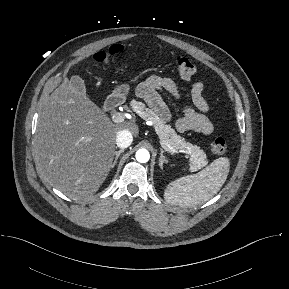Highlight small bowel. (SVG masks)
<instances>
[{"mask_svg": "<svg viewBox=\"0 0 289 289\" xmlns=\"http://www.w3.org/2000/svg\"><path fill=\"white\" fill-rule=\"evenodd\" d=\"M205 85L196 82L191 88V100L194 107L185 104L182 115L175 120L178 132L185 133L193 131L203 135H210L213 124L206 116L209 112V104L203 96ZM161 92H167L176 99L181 98L180 90L175 81L169 77L152 75L142 82L138 89V96L144 99L164 120L171 119L170 111L161 97Z\"/></svg>", "mask_w": 289, "mask_h": 289, "instance_id": "c3829d8e", "label": "small bowel"}]
</instances>
